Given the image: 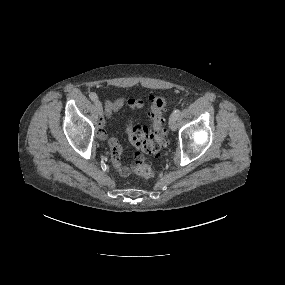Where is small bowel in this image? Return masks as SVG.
I'll list each match as a JSON object with an SVG mask.
<instances>
[{"instance_id": "c3829d8e", "label": "small bowel", "mask_w": 285, "mask_h": 285, "mask_svg": "<svg viewBox=\"0 0 285 285\" xmlns=\"http://www.w3.org/2000/svg\"><path fill=\"white\" fill-rule=\"evenodd\" d=\"M144 104L145 102L141 98H133L127 96H121L115 100H106L104 118L113 117L123 107L140 109L144 106ZM104 118L101 119V124L97 130V136L102 140L108 138V132L103 126ZM108 141L111 148V161L113 167L121 176L129 175L130 169L127 166L123 165L121 162L122 149L120 144L115 138L112 137L109 138Z\"/></svg>"}]
</instances>
